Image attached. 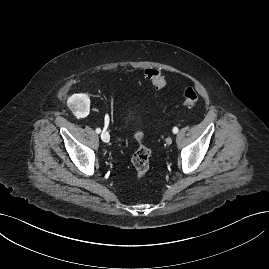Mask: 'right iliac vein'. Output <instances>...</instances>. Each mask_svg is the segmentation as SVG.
Returning <instances> with one entry per match:
<instances>
[{"label": "right iliac vein", "instance_id": "obj_1", "mask_svg": "<svg viewBox=\"0 0 269 269\" xmlns=\"http://www.w3.org/2000/svg\"><path fill=\"white\" fill-rule=\"evenodd\" d=\"M101 139L104 141V142H109L110 140V135L109 133L106 131V130H103L102 133H101Z\"/></svg>", "mask_w": 269, "mask_h": 269}]
</instances>
